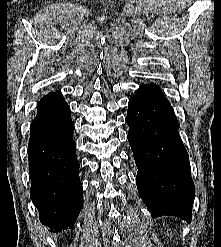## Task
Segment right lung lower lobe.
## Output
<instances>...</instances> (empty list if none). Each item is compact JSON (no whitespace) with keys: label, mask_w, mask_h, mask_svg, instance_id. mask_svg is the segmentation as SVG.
Returning <instances> with one entry per match:
<instances>
[{"label":"right lung lower lobe","mask_w":221,"mask_h":247,"mask_svg":"<svg viewBox=\"0 0 221 247\" xmlns=\"http://www.w3.org/2000/svg\"><path fill=\"white\" fill-rule=\"evenodd\" d=\"M74 123L61 92L44 96L30 127L28 144L30 197L39 219L52 232L74 228L83 206Z\"/></svg>","instance_id":"98d812e1"}]
</instances>
